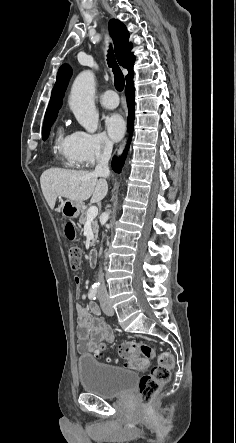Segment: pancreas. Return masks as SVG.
<instances>
[{"label":"pancreas","instance_id":"cf45deb5","mask_svg":"<svg viewBox=\"0 0 236 443\" xmlns=\"http://www.w3.org/2000/svg\"><path fill=\"white\" fill-rule=\"evenodd\" d=\"M87 213H88V210H83L82 211L81 216L79 217V223L81 225H84L87 222ZM98 229H99V226H98L97 220H93L92 221V230H93V233H94V239L91 242V246L94 245V243H95V241L97 239Z\"/></svg>","mask_w":236,"mask_h":443}]
</instances>
